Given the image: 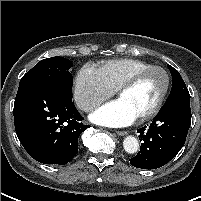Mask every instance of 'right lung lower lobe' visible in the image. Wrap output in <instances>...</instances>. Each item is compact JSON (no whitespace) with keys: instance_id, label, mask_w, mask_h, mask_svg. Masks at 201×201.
I'll use <instances>...</instances> for the list:
<instances>
[{"instance_id":"obj_1","label":"right lung lower lobe","mask_w":201,"mask_h":201,"mask_svg":"<svg viewBox=\"0 0 201 201\" xmlns=\"http://www.w3.org/2000/svg\"><path fill=\"white\" fill-rule=\"evenodd\" d=\"M16 134L28 154L43 164L68 163L78 153V138L88 126L72 93L45 79L19 84L14 103Z\"/></svg>"}]
</instances>
